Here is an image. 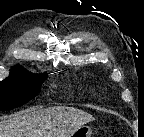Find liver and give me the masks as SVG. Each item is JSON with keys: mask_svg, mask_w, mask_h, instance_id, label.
<instances>
[{"mask_svg": "<svg viewBox=\"0 0 144 137\" xmlns=\"http://www.w3.org/2000/svg\"><path fill=\"white\" fill-rule=\"evenodd\" d=\"M94 120L73 107L56 106L18 112L0 122V137H69L78 127Z\"/></svg>", "mask_w": 144, "mask_h": 137, "instance_id": "6515ba94", "label": "liver"}]
</instances>
